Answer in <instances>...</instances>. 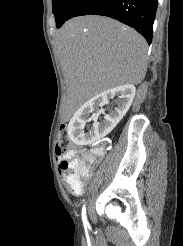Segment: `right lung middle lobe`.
Instances as JSON below:
<instances>
[{"instance_id":"1","label":"right lung middle lobe","mask_w":183,"mask_h":246,"mask_svg":"<svg viewBox=\"0 0 183 246\" xmlns=\"http://www.w3.org/2000/svg\"><path fill=\"white\" fill-rule=\"evenodd\" d=\"M79 0H52L56 26L63 24Z\"/></svg>"}]
</instances>
